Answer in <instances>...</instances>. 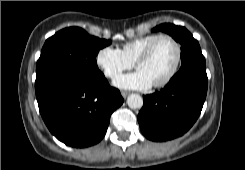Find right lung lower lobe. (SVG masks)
Instances as JSON below:
<instances>
[{
	"instance_id": "1",
	"label": "right lung lower lobe",
	"mask_w": 245,
	"mask_h": 170,
	"mask_svg": "<svg viewBox=\"0 0 245 170\" xmlns=\"http://www.w3.org/2000/svg\"><path fill=\"white\" fill-rule=\"evenodd\" d=\"M35 90L39 111L50 132L76 148L102 140L111 114L124 101L100 71L62 74Z\"/></svg>"
}]
</instances>
